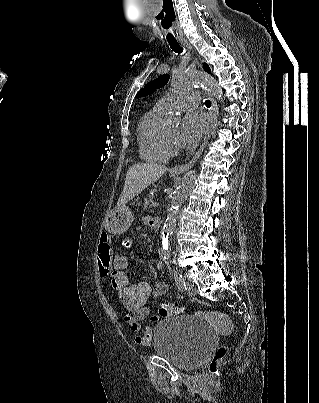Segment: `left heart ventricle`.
<instances>
[{"label":"left heart ventricle","mask_w":319,"mask_h":403,"mask_svg":"<svg viewBox=\"0 0 319 403\" xmlns=\"http://www.w3.org/2000/svg\"><path fill=\"white\" fill-rule=\"evenodd\" d=\"M165 131L169 138L177 144V136L179 132V126L178 125H171L165 128Z\"/></svg>","instance_id":"left-heart-ventricle-1"}]
</instances>
